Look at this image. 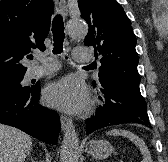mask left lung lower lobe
Instances as JSON below:
<instances>
[{"instance_id":"left-lung-lower-lobe-1","label":"left lung lower lobe","mask_w":168,"mask_h":162,"mask_svg":"<svg viewBox=\"0 0 168 162\" xmlns=\"http://www.w3.org/2000/svg\"><path fill=\"white\" fill-rule=\"evenodd\" d=\"M104 96L96 115L86 121L87 134L106 126L138 123L151 128L145 99L139 85L122 79H108L98 87Z\"/></svg>"}]
</instances>
